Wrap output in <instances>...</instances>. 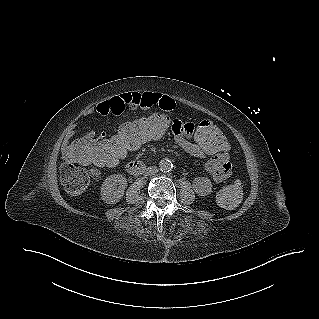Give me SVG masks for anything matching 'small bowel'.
Wrapping results in <instances>:
<instances>
[{"label":"small bowel","instance_id":"c3829d8e","mask_svg":"<svg viewBox=\"0 0 319 319\" xmlns=\"http://www.w3.org/2000/svg\"><path fill=\"white\" fill-rule=\"evenodd\" d=\"M128 107L142 109L159 107L163 110L171 111L175 109L176 103L168 96L153 92H133L121 94L115 98L102 99L95 110L96 118L90 119L86 123V134L93 139L105 137V123L121 119L125 115L126 108ZM127 124H124L121 127L126 126ZM170 130L174 135L176 143L189 155L197 158L211 155V158L205 164V169L212 175L215 183H221L228 178L232 166L228 159L227 150L219 154H212L207 150L200 148L195 141L192 142L188 140L190 135L194 132V121H188L186 115H177L175 121H170ZM72 134L73 132L69 131L65 140L71 138Z\"/></svg>","mask_w":319,"mask_h":319}]
</instances>
